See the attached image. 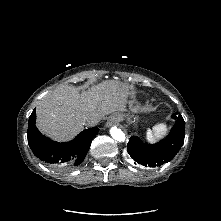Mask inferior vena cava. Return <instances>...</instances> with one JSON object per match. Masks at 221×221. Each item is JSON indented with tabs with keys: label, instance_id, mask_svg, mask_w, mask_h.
I'll list each match as a JSON object with an SVG mask.
<instances>
[{
	"label": "inferior vena cava",
	"instance_id": "1",
	"mask_svg": "<svg viewBox=\"0 0 221 221\" xmlns=\"http://www.w3.org/2000/svg\"><path fill=\"white\" fill-rule=\"evenodd\" d=\"M98 122H99V121H98V119H96V118H87V119L85 120V122H84V125H86V126H94V125H96Z\"/></svg>",
	"mask_w": 221,
	"mask_h": 221
}]
</instances>
